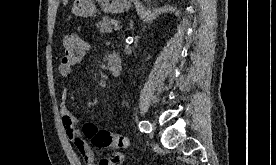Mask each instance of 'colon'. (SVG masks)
I'll use <instances>...</instances> for the list:
<instances>
[{"label": "colon", "instance_id": "5ec220e1", "mask_svg": "<svg viewBox=\"0 0 276 165\" xmlns=\"http://www.w3.org/2000/svg\"><path fill=\"white\" fill-rule=\"evenodd\" d=\"M63 46L62 63L73 66L82 61L86 53V46L79 35L76 33L66 34L63 39ZM83 132L92 144L98 148L122 150L128 146V139L125 136L98 129L93 123L85 124Z\"/></svg>", "mask_w": 276, "mask_h": 165}]
</instances>
